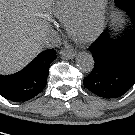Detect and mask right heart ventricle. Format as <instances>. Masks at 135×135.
I'll use <instances>...</instances> for the list:
<instances>
[{"mask_svg":"<svg viewBox=\"0 0 135 135\" xmlns=\"http://www.w3.org/2000/svg\"><path fill=\"white\" fill-rule=\"evenodd\" d=\"M85 0H56L52 14L63 25H67L79 11Z\"/></svg>","mask_w":135,"mask_h":135,"instance_id":"right-heart-ventricle-1","label":"right heart ventricle"}]
</instances>
